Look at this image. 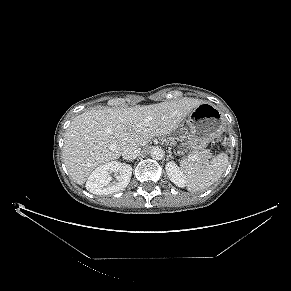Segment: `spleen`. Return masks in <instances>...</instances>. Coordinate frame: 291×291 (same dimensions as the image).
<instances>
[{
  "instance_id": "3e777b00",
  "label": "spleen",
  "mask_w": 291,
  "mask_h": 291,
  "mask_svg": "<svg viewBox=\"0 0 291 291\" xmlns=\"http://www.w3.org/2000/svg\"><path fill=\"white\" fill-rule=\"evenodd\" d=\"M228 166V155L221 153L214 157L209 164L200 165L190 160L180 161V168L190 192H200L213 185L224 173Z\"/></svg>"
}]
</instances>
